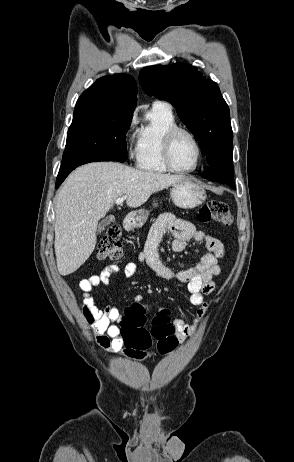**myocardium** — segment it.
<instances>
[{
    "instance_id": "obj_1",
    "label": "myocardium",
    "mask_w": 294,
    "mask_h": 462,
    "mask_svg": "<svg viewBox=\"0 0 294 462\" xmlns=\"http://www.w3.org/2000/svg\"><path fill=\"white\" fill-rule=\"evenodd\" d=\"M180 134H184L188 136L193 141L196 147V150H197L195 164L191 168H188V169L177 168L172 161V146H173V143L176 137L179 136ZM202 155H203V150H202V146L198 138L188 129L176 126V127L169 129L165 133L163 137V142H162V159H163L164 165L167 167L168 170L175 172V173H180V174H187V173L194 172L201 163Z\"/></svg>"
}]
</instances>
